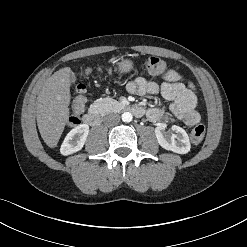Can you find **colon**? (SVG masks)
Returning <instances> with one entry per match:
<instances>
[{"label": "colon", "mask_w": 247, "mask_h": 247, "mask_svg": "<svg viewBox=\"0 0 247 247\" xmlns=\"http://www.w3.org/2000/svg\"><path fill=\"white\" fill-rule=\"evenodd\" d=\"M145 69L150 74H162L169 72L171 69L169 65L159 57H148L144 62ZM110 71V70H109ZM90 72V71H88ZM86 87L84 84H78L75 88V97L72 103L73 114L70 117V124L75 125L79 122V115L83 111L86 102ZM205 136V127L202 124H198L191 131V141L195 144L200 143Z\"/></svg>", "instance_id": "1"}]
</instances>
